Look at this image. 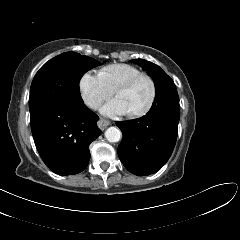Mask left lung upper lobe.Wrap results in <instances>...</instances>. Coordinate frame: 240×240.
<instances>
[{"mask_svg":"<svg viewBox=\"0 0 240 240\" xmlns=\"http://www.w3.org/2000/svg\"><path fill=\"white\" fill-rule=\"evenodd\" d=\"M134 62L142 66L155 83V100L151 108L161 105L179 106V96L174 82L158 65L143 59H135Z\"/></svg>","mask_w":240,"mask_h":240,"instance_id":"obj_1","label":"left lung upper lobe"}]
</instances>
